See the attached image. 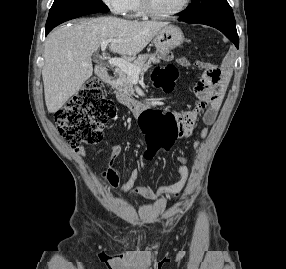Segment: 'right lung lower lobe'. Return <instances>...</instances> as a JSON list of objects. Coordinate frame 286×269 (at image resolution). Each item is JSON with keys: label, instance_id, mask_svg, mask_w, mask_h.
Masks as SVG:
<instances>
[{"label": "right lung lower lobe", "instance_id": "right-lung-lower-lobe-1", "mask_svg": "<svg viewBox=\"0 0 286 269\" xmlns=\"http://www.w3.org/2000/svg\"><path fill=\"white\" fill-rule=\"evenodd\" d=\"M53 28L45 29V35H47Z\"/></svg>", "mask_w": 286, "mask_h": 269}]
</instances>
